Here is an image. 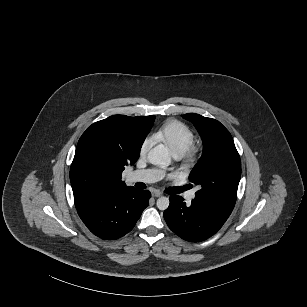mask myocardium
I'll return each instance as SVG.
<instances>
[{
	"label": "myocardium",
	"instance_id": "myocardium-1",
	"mask_svg": "<svg viewBox=\"0 0 307 307\" xmlns=\"http://www.w3.org/2000/svg\"><path fill=\"white\" fill-rule=\"evenodd\" d=\"M197 152L198 148L190 147L184 154L181 155V157L188 160H194Z\"/></svg>",
	"mask_w": 307,
	"mask_h": 307
}]
</instances>
